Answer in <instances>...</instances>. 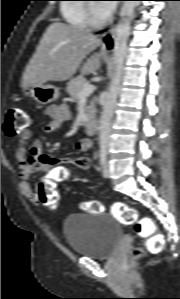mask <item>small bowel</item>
Wrapping results in <instances>:
<instances>
[{"label": "small bowel", "instance_id": "1", "mask_svg": "<svg viewBox=\"0 0 180 299\" xmlns=\"http://www.w3.org/2000/svg\"><path fill=\"white\" fill-rule=\"evenodd\" d=\"M46 113L49 117L46 126L48 134L58 132L62 124L71 119V111L66 105L53 104L47 107ZM32 132L24 129L20 135L16 158L20 170L21 186L24 195L33 203H38V192H34L30 180L33 175H44L50 181H63L68 176L70 167L81 170L90 168V159L87 157L62 158L52 157L44 153L39 141L32 140ZM29 146V149H28ZM93 148V141L89 138L82 139L78 144L81 151H90ZM44 183L40 181L38 188Z\"/></svg>", "mask_w": 180, "mask_h": 299}]
</instances>
